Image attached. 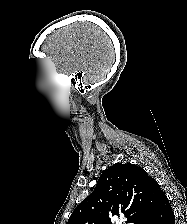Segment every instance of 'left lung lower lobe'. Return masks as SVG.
<instances>
[{
    "label": "left lung lower lobe",
    "mask_w": 187,
    "mask_h": 224,
    "mask_svg": "<svg viewBox=\"0 0 187 224\" xmlns=\"http://www.w3.org/2000/svg\"><path fill=\"white\" fill-rule=\"evenodd\" d=\"M144 224H175L174 212L163 191L159 193L155 206Z\"/></svg>",
    "instance_id": "obj_1"
}]
</instances>
